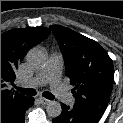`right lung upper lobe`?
Instances as JSON below:
<instances>
[{
    "instance_id": "cb5924a9",
    "label": "right lung upper lobe",
    "mask_w": 123,
    "mask_h": 123,
    "mask_svg": "<svg viewBox=\"0 0 123 123\" xmlns=\"http://www.w3.org/2000/svg\"><path fill=\"white\" fill-rule=\"evenodd\" d=\"M50 33L46 27L13 29L1 34V107L22 101L26 97L8 90L15 80V69L26 52L43 41Z\"/></svg>"
}]
</instances>
